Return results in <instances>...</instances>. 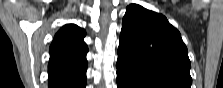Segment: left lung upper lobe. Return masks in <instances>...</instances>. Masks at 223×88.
Here are the masks:
<instances>
[{
	"label": "left lung upper lobe",
	"mask_w": 223,
	"mask_h": 88,
	"mask_svg": "<svg viewBox=\"0 0 223 88\" xmlns=\"http://www.w3.org/2000/svg\"><path fill=\"white\" fill-rule=\"evenodd\" d=\"M117 64L152 87L190 88V60L181 35L162 14L138 4L126 8Z\"/></svg>",
	"instance_id": "left-lung-upper-lobe-1"
}]
</instances>
